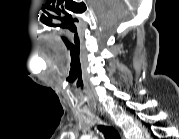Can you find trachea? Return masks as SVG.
Listing matches in <instances>:
<instances>
[{
	"label": "trachea",
	"instance_id": "obj_1",
	"mask_svg": "<svg viewBox=\"0 0 179 139\" xmlns=\"http://www.w3.org/2000/svg\"><path fill=\"white\" fill-rule=\"evenodd\" d=\"M98 129L104 134L106 139H120L118 132L110 126L99 125Z\"/></svg>",
	"mask_w": 179,
	"mask_h": 139
}]
</instances>
